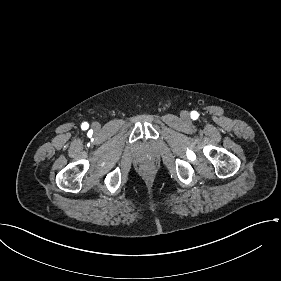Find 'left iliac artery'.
<instances>
[{
	"mask_svg": "<svg viewBox=\"0 0 281 281\" xmlns=\"http://www.w3.org/2000/svg\"><path fill=\"white\" fill-rule=\"evenodd\" d=\"M191 117H192V119H197L198 118V113L196 111H193L191 113Z\"/></svg>",
	"mask_w": 281,
	"mask_h": 281,
	"instance_id": "left-iliac-artery-1",
	"label": "left iliac artery"
}]
</instances>
